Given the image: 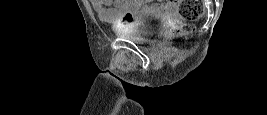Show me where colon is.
<instances>
[{"label": "colon", "mask_w": 267, "mask_h": 115, "mask_svg": "<svg viewBox=\"0 0 267 115\" xmlns=\"http://www.w3.org/2000/svg\"><path fill=\"white\" fill-rule=\"evenodd\" d=\"M179 5L180 16L186 21L178 26L169 28L165 32V38L170 39L179 35L189 34L193 30V22L203 13V4L200 0H171ZM133 18V13L127 9L123 13V19L129 21Z\"/></svg>", "instance_id": "colon-1"}]
</instances>
